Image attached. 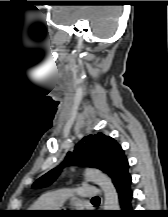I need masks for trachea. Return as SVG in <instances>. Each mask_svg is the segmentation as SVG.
<instances>
[{
	"mask_svg": "<svg viewBox=\"0 0 168 217\" xmlns=\"http://www.w3.org/2000/svg\"><path fill=\"white\" fill-rule=\"evenodd\" d=\"M100 198L99 197H95V198H93V200H99Z\"/></svg>",
	"mask_w": 168,
	"mask_h": 217,
	"instance_id": "trachea-1",
	"label": "trachea"
}]
</instances>
